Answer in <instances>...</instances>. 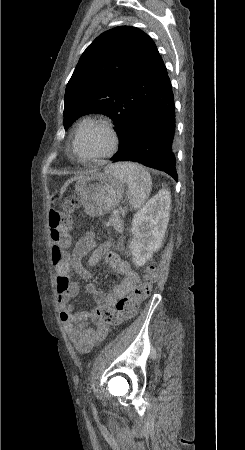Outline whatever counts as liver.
Instances as JSON below:
<instances>
[{
	"mask_svg": "<svg viewBox=\"0 0 245 450\" xmlns=\"http://www.w3.org/2000/svg\"><path fill=\"white\" fill-rule=\"evenodd\" d=\"M112 168H113V166H112ZM79 178H80V177H74V178H71V179H69L68 181H66V182L64 183L63 187L61 188L60 195H62V194L64 193V191L66 190L67 186H68L72 181H74V180H76V179H79Z\"/></svg>",
	"mask_w": 245,
	"mask_h": 450,
	"instance_id": "1",
	"label": "liver"
}]
</instances>
